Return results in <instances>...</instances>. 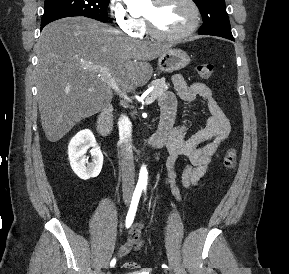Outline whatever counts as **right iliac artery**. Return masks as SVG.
Instances as JSON below:
<instances>
[{"label": "right iliac artery", "instance_id": "obj_1", "mask_svg": "<svg viewBox=\"0 0 289 274\" xmlns=\"http://www.w3.org/2000/svg\"><path fill=\"white\" fill-rule=\"evenodd\" d=\"M141 192H142V188H136L134 193H133L130 208H129V211H128L127 216H126V228H129L133 223V220H134V217L136 214V210H137V206H138V203L140 200ZM115 264H116V259L113 258L110 262V266L113 267Z\"/></svg>", "mask_w": 289, "mask_h": 274}]
</instances>
